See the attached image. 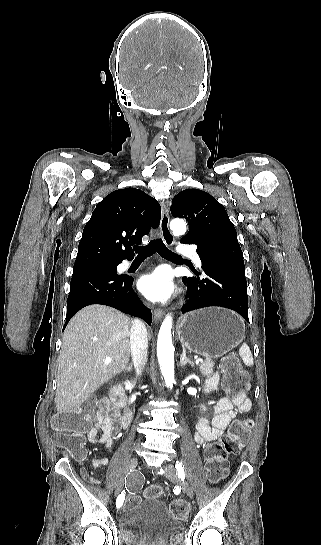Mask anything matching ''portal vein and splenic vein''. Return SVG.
Returning <instances> with one entry per match:
<instances>
[{
  "label": "portal vein and splenic vein",
  "mask_w": 321,
  "mask_h": 545,
  "mask_svg": "<svg viewBox=\"0 0 321 545\" xmlns=\"http://www.w3.org/2000/svg\"><path fill=\"white\" fill-rule=\"evenodd\" d=\"M194 359H196V361H203V358H199V355H195ZM104 361H105V363H112L111 357H106V359H104Z\"/></svg>",
  "instance_id": "18ae733b"
}]
</instances>
